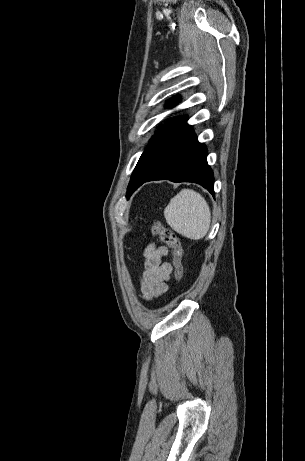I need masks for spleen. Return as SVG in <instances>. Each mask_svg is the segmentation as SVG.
<instances>
[{
	"label": "spleen",
	"instance_id": "3e777b00",
	"mask_svg": "<svg viewBox=\"0 0 305 461\" xmlns=\"http://www.w3.org/2000/svg\"><path fill=\"white\" fill-rule=\"evenodd\" d=\"M164 216L173 230L191 240L206 236L211 223L206 200L191 189H183L174 196L165 208Z\"/></svg>",
	"mask_w": 305,
	"mask_h": 461
}]
</instances>
